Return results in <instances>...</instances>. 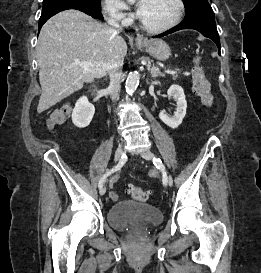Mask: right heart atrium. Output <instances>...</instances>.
<instances>
[{"instance_id":"obj_1","label":"right heart atrium","mask_w":261,"mask_h":273,"mask_svg":"<svg viewBox=\"0 0 261 273\" xmlns=\"http://www.w3.org/2000/svg\"><path fill=\"white\" fill-rule=\"evenodd\" d=\"M103 11L105 16L113 22L126 25L130 23L132 14L121 0H103Z\"/></svg>"}]
</instances>
